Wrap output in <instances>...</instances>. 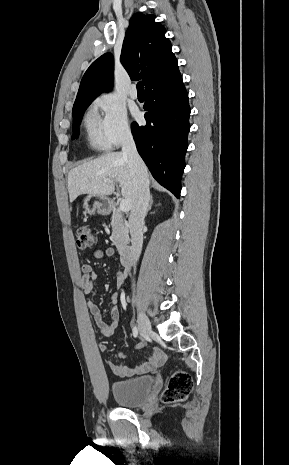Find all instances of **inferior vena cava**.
<instances>
[{
  "mask_svg": "<svg viewBox=\"0 0 289 465\" xmlns=\"http://www.w3.org/2000/svg\"><path fill=\"white\" fill-rule=\"evenodd\" d=\"M122 153L128 157L132 171L136 175V202L129 216V230L132 243V259L135 264L141 254L143 245V225L148 209L150 192L149 183L144 176L146 166L139 156L131 132L125 131L122 137Z\"/></svg>",
  "mask_w": 289,
  "mask_h": 465,
  "instance_id": "1",
  "label": "inferior vena cava"
}]
</instances>
